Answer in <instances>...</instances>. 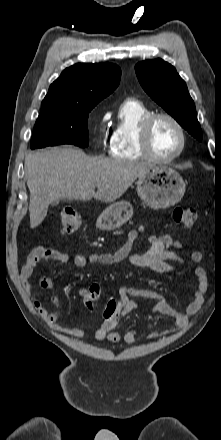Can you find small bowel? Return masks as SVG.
<instances>
[{
    "label": "small bowel",
    "mask_w": 221,
    "mask_h": 440,
    "mask_svg": "<svg viewBox=\"0 0 221 440\" xmlns=\"http://www.w3.org/2000/svg\"><path fill=\"white\" fill-rule=\"evenodd\" d=\"M144 231V227H140L138 230H130L127 236V241L120 249L113 253L90 255L78 254L74 256L73 262L77 267L84 268L90 264L110 266L128 260L137 267L150 269L156 273H172L176 269V265L183 263L182 258L176 253V250L182 247L181 243L170 235L151 236L149 238V249L144 253H137L133 250L134 242L138 237V233ZM45 260H53L66 264L70 261V256L57 249L41 245L34 247L28 254L26 261L21 268L20 278L23 288L31 298L35 309L50 327L55 331L73 338L93 336L99 341L107 340L111 342H119L123 340L126 344H134L137 337L136 329L129 330L123 336L115 330L119 320L123 316L136 310L138 307L137 302L132 300L131 296L156 300L157 305L152 312L168 316L175 321L177 328H184L188 323L189 316L197 313L201 309L204 301V294L208 287L206 271L201 267H196L193 270V273L198 279V287L193 293L192 301L187 305L185 310L178 311L165 300L162 294L156 291L141 290L124 286L118 291V307L116 312H114L112 321H105L103 319L100 326L94 331L80 327H65L59 324L62 317V305L59 297L57 295H50L47 298L56 307V311L49 312L43 304L44 300L32 292V284L30 280L34 269L38 263ZM191 260L195 263H199L202 260V255L199 252H194L191 255ZM56 283V278L39 277L37 279V284L42 288H52ZM90 287H80L77 289V294L81 298V304L83 307H86L85 301L89 294ZM158 336L159 334L157 333L149 335L150 338Z\"/></svg>",
    "instance_id": "obj_1"
}]
</instances>
